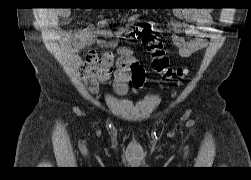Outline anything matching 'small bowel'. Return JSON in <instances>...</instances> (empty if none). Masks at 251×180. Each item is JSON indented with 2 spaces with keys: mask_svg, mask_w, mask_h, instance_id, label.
<instances>
[{
  "mask_svg": "<svg viewBox=\"0 0 251 180\" xmlns=\"http://www.w3.org/2000/svg\"><path fill=\"white\" fill-rule=\"evenodd\" d=\"M70 9L60 8L48 12L47 17L51 26L56 27L60 20L69 17ZM177 21L172 23L174 34L171 40L183 58H188L195 52L204 48L205 39L211 23L209 10L201 8L176 9ZM139 18L134 14L129 18L134 22ZM187 34V38L180 35ZM122 34L109 28L106 23L100 22L97 28H84L77 31L63 30L59 34L60 42L64 50L73 58L78 59V52L85 47L97 45L104 50L103 54L90 51L80 67V72L85 84L92 92H96L99 86L114 76L113 89L117 95H124L128 84L132 82L141 87L145 81L143 67L133 59L131 50L120 47L113 40Z\"/></svg>",
  "mask_w": 251,
  "mask_h": 180,
  "instance_id": "c3829d8e",
  "label": "small bowel"
}]
</instances>
